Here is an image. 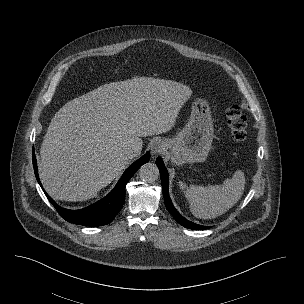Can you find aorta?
<instances>
[{
    "mask_svg": "<svg viewBox=\"0 0 304 304\" xmlns=\"http://www.w3.org/2000/svg\"><path fill=\"white\" fill-rule=\"evenodd\" d=\"M139 176L142 181L152 183L158 179L159 169L154 163L148 162L139 169Z\"/></svg>",
    "mask_w": 304,
    "mask_h": 304,
    "instance_id": "aorta-1",
    "label": "aorta"
}]
</instances>
